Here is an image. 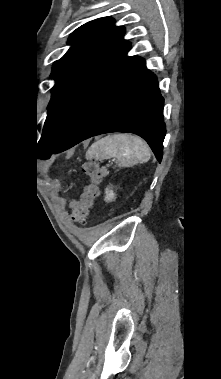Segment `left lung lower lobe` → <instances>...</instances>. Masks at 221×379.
<instances>
[{
	"label": "left lung lower lobe",
	"mask_w": 221,
	"mask_h": 379,
	"mask_svg": "<svg viewBox=\"0 0 221 379\" xmlns=\"http://www.w3.org/2000/svg\"><path fill=\"white\" fill-rule=\"evenodd\" d=\"M164 100L153 73L137 57L100 95L54 151L59 153L103 133L130 132L144 138L161 162L166 128Z\"/></svg>",
	"instance_id": "left-lung-lower-lobe-1"
}]
</instances>
